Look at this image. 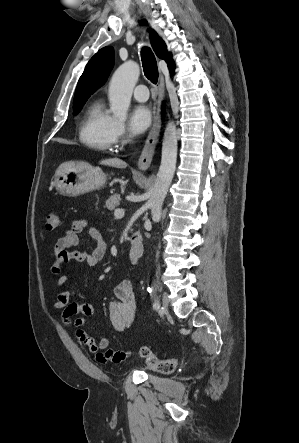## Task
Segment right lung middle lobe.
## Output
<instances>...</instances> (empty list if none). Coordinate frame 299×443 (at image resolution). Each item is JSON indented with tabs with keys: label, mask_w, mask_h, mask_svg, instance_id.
I'll return each instance as SVG.
<instances>
[{
	"label": "right lung middle lobe",
	"mask_w": 299,
	"mask_h": 443,
	"mask_svg": "<svg viewBox=\"0 0 299 443\" xmlns=\"http://www.w3.org/2000/svg\"><path fill=\"white\" fill-rule=\"evenodd\" d=\"M83 105H84V103H81V104H78V105L73 106L74 114H76L77 112H79Z\"/></svg>",
	"instance_id": "right-lung-middle-lobe-1"
}]
</instances>
